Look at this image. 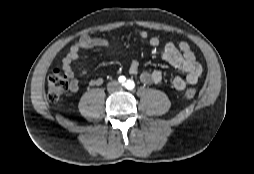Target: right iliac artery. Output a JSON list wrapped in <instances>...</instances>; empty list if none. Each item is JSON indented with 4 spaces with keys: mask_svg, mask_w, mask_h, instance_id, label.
I'll return each mask as SVG.
<instances>
[{
    "mask_svg": "<svg viewBox=\"0 0 254 174\" xmlns=\"http://www.w3.org/2000/svg\"><path fill=\"white\" fill-rule=\"evenodd\" d=\"M118 80H119V82H120L121 84H124L125 81H126V78H125L124 76H120V77L118 78Z\"/></svg>",
    "mask_w": 254,
    "mask_h": 174,
    "instance_id": "obj_1",
    "label": "right iliac artery"
}]
</instances>
